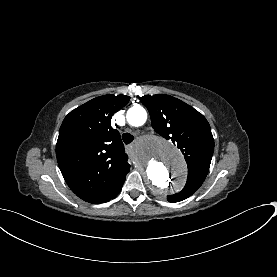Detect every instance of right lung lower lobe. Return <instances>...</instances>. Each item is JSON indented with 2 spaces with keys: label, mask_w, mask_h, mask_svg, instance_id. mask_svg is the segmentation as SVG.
Returning <instances> with one entry per match:
<instances>
[{
  "label": "right lung lower lobe",
  "mask_w": 277,
  "mask_h": 277,
  "mask_svg": "<svg viewBox=\"0 0 277 277\" xmlns=\"http://www.w3.org/2000/svg\"><path fill=\"white\" fill-rule=\"evenodd\" d=\"M102 172H103V170H101L98 174H101ZM122 186H123V184L117 189V191L114 193V195H113L112 197H110L109 199H107V200L104 201V202H107V201L113 199L114 197H116V196L119 194V192L121 191ZM102 203H103V202H102Z\"/></svg>",
  "instance_id": "98d812e1"
}]
</instances>
